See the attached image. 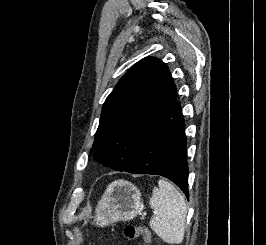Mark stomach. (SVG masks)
<instances>
[{
  "label": "stomach",
  "instance_id": "0dacf381",
  "mask_svg": "<svg viewBox=\"0 0 266 245\" xmlns=\"http://www.w3.org/2000/svg\"><path fill=\"white\" fill-rule=\"evenodd\" d=\"M141 205V193L133 183L124 179L113 181L95 209V225L108 227L117 221H131L137 217Z\"/></svg>",
  "mask_w": 266,
  "mask_h": 245
}]
</instances>
